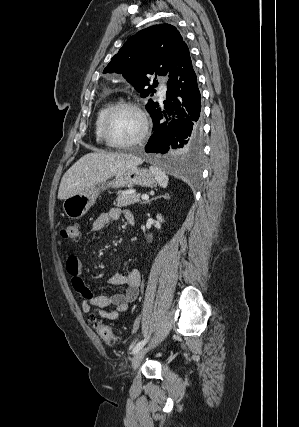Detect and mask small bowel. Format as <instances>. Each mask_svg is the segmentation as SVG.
I'll return each mask as SVG.
<instances>
[{
    "instance_id": "1",
    "label": "small bowel",
    "mask_w": 299,
    "mask_h": 427,
    "mask_svg": "<svg viewBox=\"0 0 299 427\" xmlns=\"http://www.w3.org/2000/svg\"><path fill=\"white\" fill-rule=\"evenodd\" d=\"M123 214L128 222V218L133 216L128 210L122 211L120 208H112L108 212L101 214L92 224L91 233H97L108 225L117 221ZM66 270L71 277L74 289L81 295V308L84 313L89 315L90 319L118 320L128 310L129 304L136 300L141 282L139 270L132 269L122 274H114L109 278L112 285H124L123 293H114L110 295H95L84 284L82 273V261L75 255L68 257L66 261ZM113 306L112 310H106Z\"/></svg>"
}]
</instances>
